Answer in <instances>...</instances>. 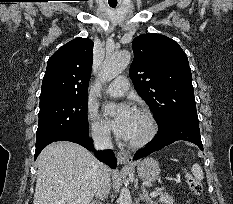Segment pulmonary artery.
I'll list each match as a JSON object with an SVG mask.
<instances>
[{
  "mask_svg": "<svg viewBox=\"0 0 233 204\" xmlns=\"http://www.w3.org/2000/svg\"><path fill=\"white\" fill-rule=\"evenodd\" d=\"M129 88V83L126 77H117L108 87L106 92L114 97H119L125 94Z\"/></svg>",
  "mask_w": 233,
  "mask_h": 204,
  "instance_id": "obj_1",
  "label": "pulmonary artery"
}]
</instances>
